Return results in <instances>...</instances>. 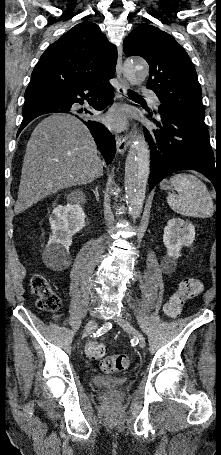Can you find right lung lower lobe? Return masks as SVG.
I'll list each match as a JSON object with an SVG mask.
<instances>
[{
	"label": "right lung lower lobe",
	"instance_id": "right-lung-lower-lobe-1",
	"mask_svg": "<svg viewBox=\"0 0 221 455\" xmlns=\"http://www.w3.org/2000/svg\"><path fill=\"white\" fill-rule=\"evenodd\" d=\"M109 78L103 75L88 78L65 88L53 97L25 103L22 109L23 121L18 134L34 118L47 113H68L79 117L82 113H90L86 109L76 110L74 103L83 104L84 100L96 110H103L112 102L113 86ZM82 120V119H81ZM95 139L106 163H111L116 151L115 139L109 130L101 123L84 121Z\"/></svg>",
	"mask_w": 221,
	"mask_h": 455
}]
</instances>
